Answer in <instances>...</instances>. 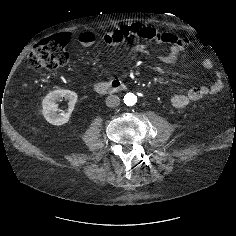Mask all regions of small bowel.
Instances as JSON below:
<instances>
[{
	"instance_id": "c3829d8e",
	"label": "small bowel",
	"mask_w": 236,
	"mask_h": 236,
	"mask_svg": "<svg viewBox=\"0 0 236 236\" xmlns=\"http://www.w3.org/2000/svg\"><path fill=\"white\" fill-rule=\"evenodd\" d=\"M61 38L68 41L69 34H59ZM134 36L140 39L153 40L157 43L168 44L169 48L165 54L159 56V60L167 64H176L179 61V55L182 51L191 45L200 43V37L193 35L186 37L170 32H162L153 27L142 23H133L131 25H123L112 32H105L102 40L106 45L116 46L125 38ZM96 36L91 31H84L79 35V42L84 47H90L94 44ZM139 51H146V47L142 44L137 45ZM204 67L210 68L212 63L209 59L204 60ZM223 88V80L219 72L214 73V81L211 85H194L192 87L179 90L172 97V104L176 108H184L189 103L197 101L208 94L218 93Z\"/></svg>"
}]
</instances>
